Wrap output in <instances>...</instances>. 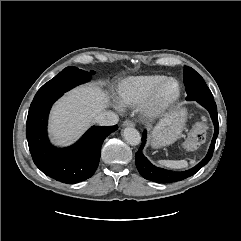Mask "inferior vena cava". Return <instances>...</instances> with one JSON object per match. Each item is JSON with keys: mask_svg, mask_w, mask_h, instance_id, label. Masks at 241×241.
<instances>
[{"mask_svg": "<svg viewBox=\"0 0 241 241\" xmlns=\"http://www.w3.org/2000/svg\"><path fill=\"white\" fill-rule=\"evenodd\" d=\"M118 121L119 117L113 111H105L95 117V122L100 126L115 125Z\"/></svg>", "mask_w": 241, "mask_h": 241, "instance_id": "602c4592", "label": "inferior vena cava"}]
</instances>
